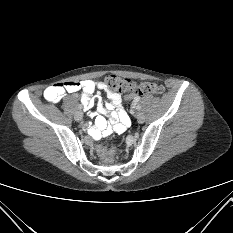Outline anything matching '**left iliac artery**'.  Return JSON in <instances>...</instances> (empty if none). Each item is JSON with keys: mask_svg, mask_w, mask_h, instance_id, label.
I'll return each instance as SVG.
<instances>
[{"mask_svg": "<svg viewBox=\"0 0 233 233\" xmlns=\"http://www.w3.org/2000/svg\"><path fill=\"white\" fill-rule=\"evenodd\" d=\"M139 100H140V97H136V98H135V101H136V102H138ZM136 109H137V110H140V109H141V106H140V105H137V106H136Z\"/></svg>", "mask_w": 233, "mask_h": 233, "instance_id": "left-iliac-artery-1", "label": "left iliac artery"}]
</instances>
